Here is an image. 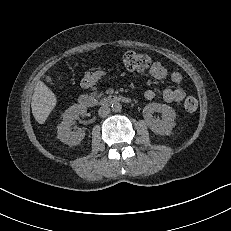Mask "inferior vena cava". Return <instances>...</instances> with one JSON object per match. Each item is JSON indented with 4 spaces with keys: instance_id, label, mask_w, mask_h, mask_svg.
Returning a JSON list of instances; mask_svg holds the SVG:
<instances>
[{
    "instance_id": "obj_1",
    "label": "inferior vena cava",
    "mask_w": 231,
    "mask_h": 231,
    "mask_svg": "<svg viewBox=\"0 0 231 231\" xmlns=\"http://www.w3.org/2000/svg\"><path fill=\"white\" fill-rule=\"evenodd\" d=\"M110 111H111V109L108 106L104 105V106H101L99 108L98 115L100 117H107L109 115Z\"/></svg>"
}]
</instances>
